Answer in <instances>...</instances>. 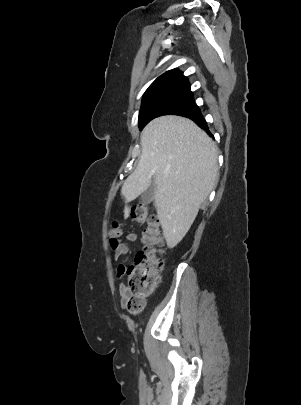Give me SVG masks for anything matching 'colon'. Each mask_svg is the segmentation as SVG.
Returning a JSON list of instances; mask_svg holds the SVG:
<instances>
[{
	"instance_id": "5ec220e1",
	"label": "colon",
	"mask_w": 301,
	"mask_h": 405,
	"mask_svg": "<svg viewBox=\"0 0 301 405\" xmlns=\"http://www.w3.org/2000/svg\"><path fill=\"white\" fill-rule=\"evenodd\" d=\"M130 217L138 223L147 222L142 234L144 247L135 255L134 263L128 269L127 295L123 302L130 313L137 314L142 309L145 298L154 291L160 280L163 269V233L158 216L150 214L147 205L133 206ZM122 233L120 225L113 222L110 230L112 248Z\"/></svg>"
}]
</instances>
